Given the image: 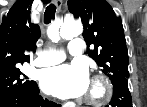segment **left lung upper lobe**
<instances>
[{
	"label": "left lung upper lobe",
	"mask_w": 147,
	"mask_h": 107,
	"mask_svg": "<svg viewBox=\"0 0 147 107\" xmlns=\"http://www.w3.org/2000/svg\"><path fill=\"white\" fill-rule=\"evenodd\" d=\"M69 11L82 20L89 56L111 83L128 79V51L121 19L106 0H68ZM90 47V49H89Z\"/></svg>",
	"instance_id": "left-lung-upper-lobe-1"
}]
</instances>
